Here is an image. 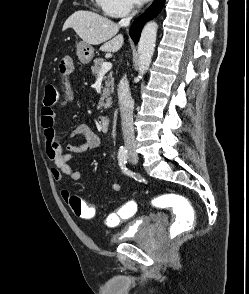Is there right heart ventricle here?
Returning <instances> with one entry per match:
<instances>
[{"label": "right heart ventricle", "mask_w": 249, "mask_h": 294, "mask_svg": "<svg viewBox=\"0 0 249 294\" xmlns=\"http://www.w3.org/2000/svg\"><path fill=\"white\" fill-rule=\"evenodd\" d=\"M96 2L99 4V5H101V0H96Z\"/></svg>", "instance_id": "1"}]
</instances>
